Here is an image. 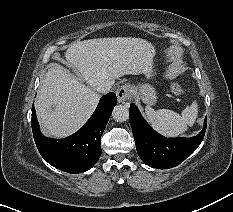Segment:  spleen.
I'll use <instances>...</instances> for the list:
<instances>
[{
  "mask_svg": "<svg viewBox=\"0 0 233 212\" xmlns=\"http://www.w3.org/2000/svg\"><path fill=\"white\" fill-rule=\"evenodd\" d=\"M145 114L147 120L157 132L167 137H177L195 123L198 115V104L193 101L191 106L182 111L181 115L169 109L155 111L150 106H146Z\"/></svg>",
  "mask_w": 233,
  "mask_h": 212,
  "instance_id": "1",
  "label": "spleen"
}]
</instances>
